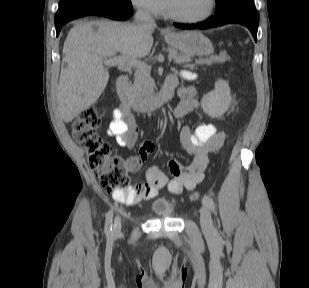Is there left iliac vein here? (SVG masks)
I'll list each match as a JSON object with an SVG mask.
<instances>
[{"mask_svg": "<svg viewBox=\"0 0 309 288\" xmlns=\"http://www.w3.org/2000/svg\"><path fill=\"white\" fill-rule=\"evenodd\" d=\"M200 223L204 233L207 235L213 234L214 227L211 219L210 209L205 203H203L200 209Z\"/></svg>", "mask_w": 309, "mask_h": 288, "instance_id": "4c4485c4", "label": "left iliac vein"}]
</instances>
